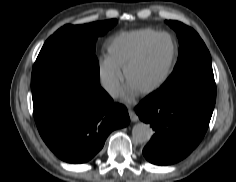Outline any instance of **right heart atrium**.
Returning <instances> with one entry per match:
<instances>
[{
    "instance_id": "d8ad5b80",
    "label": "right heart atrium",
    "mask_w": 236,
    "mask_h": 182,
    "mask_svg": "<svg viewBox=\"0 0 236 182\" xmlns=\"http://www.w3.org/2000/svg\"><path fill=\"white\" fill-rule=\"evenodd\" d=\"M100 79L104 88L115 95L121 89L123 75L118 67L105 59L101 62Z\"/></svg>"
}]
</instances>
